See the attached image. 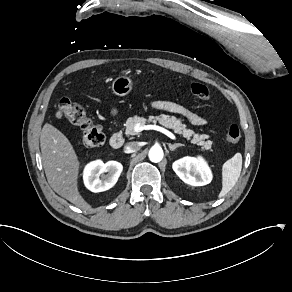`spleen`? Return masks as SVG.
I'll return each instance as SVG.
<instances>
[{
  "label": "spleen",
  "instance_id": "obj_1",
  "mask_svg": "<svg viewBox=\"0 0 292 292\" xmlns=\"http://www.w3.org/2000/svg\"><path fill=\"white\" fill-rule=\"evenodd\" d=\"M242 169V155L236 153L222 167V190L219 197L225 196L236 184Z\"/></svg>",
  "mask_w": 292,
  "mask_h": 292
}]
</instances>
